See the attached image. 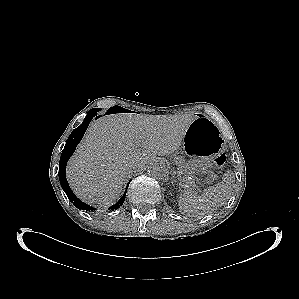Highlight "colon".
Instances as JSON below:
<instances>
[{"label":"colon","instance_id":"1","mask_svg":"<svg viewBox=\"0 0 299 299\" xmlns=\"http://www.w3.org/2000/svg\"><path fill=\"white\" fill-rule=\"evenodd\" d=\"M225 161H226L225 156L221 155L214 160V165L216 167H222L224 165Z\"/></svg>","mask_w":299,"mask_h":299}]
</instances>
